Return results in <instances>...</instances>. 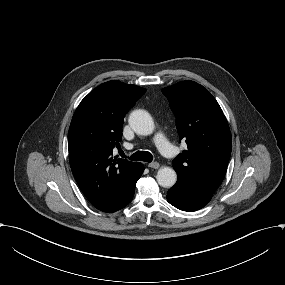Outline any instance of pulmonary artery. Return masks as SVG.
<instances>
[{
    "instance_id": "1",
    "label": "pulmonary artery",
    "mask_w": 285,
    "mask_h": 285,
    "mask_svg": "<svg viewBox=\"0 0 285 285\" xmlns=\"http://www.w3.org/2000/svg\"><path fill=\"white\" fill-rule=\"evenodd\" d=\"M153 143L156 145L158 150L163 154L164 156H171L174 151L175 147L167 140L165 135L162 132H157L153 138Z\"/></svg>"
}]
</instances>
